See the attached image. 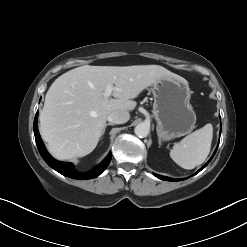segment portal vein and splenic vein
Returning <instances> with one entry per match:
<instances>
[{"label":"portal vein and splenic vein","instance_id":"18ae733b","mask_svg":"<svg viewBox=\"0 0 247 247\" xmlns=\"http://www.w3.org/2000/svg\"><path fill=\"white\" fill-rule=\"evenodd\" d=\"M113 90H119V89H117L116 87H114L112 85H107L104 92H103L104 97L105 98L110 97Z\"/></svg>","mask_w":247,"mask_h":247}]
</instances>
